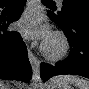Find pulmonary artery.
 <instances>
[{
	"label": "pulmonary artery",
	"instance_id": "e3ab8cb5",
	"mask_svg": "<svg viewBox=\"0 0 89 89\" xmlns=\"http://www.w3.org/2000/svg\"><path fill=\"white\" fill-rule=\"evenodd\" d=\"M58 2H59V3H61V2H62V0H58Z\"/></svg>",
	"mask_w": 89,
	"mask_h": 89
}]
</instances>
